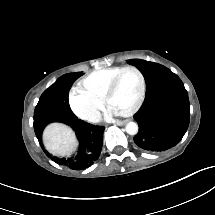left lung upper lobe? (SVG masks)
Here are the masks:
<instances>
[{"instance_id":"5c2ea615","label":"left lung upper lobe","mask_w":215,"mask_h":215,"mask_svg":"<svg viewBox=\"0 0 215 215\" xmlns=\"http://www.w3.org/2000/svg\"><path fill=\"white\" fill-rule=\"evenodd\" d=\"M146 81V98L134 116L139 132L136 145L145 151H166L176 146L187 131L190 119L187 91L168 68L143 60H131Z\"/></svg>"}]
</instances>
